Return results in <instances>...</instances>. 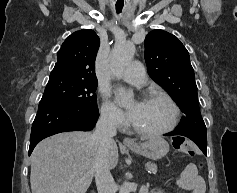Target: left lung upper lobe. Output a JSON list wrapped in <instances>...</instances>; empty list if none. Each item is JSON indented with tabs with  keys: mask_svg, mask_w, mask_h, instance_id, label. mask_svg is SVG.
<instances>
[{
	"mask_svg": "<svg viewBox=\"0 0 237 193\" xmlns=\"http://www.w3.org/2000/svg\"><path fill=\"white\" fill-rule=\"evenodd\" d=\"M145 60L150 77L169 93L183 112L175 130L207 138L194 70L184 45L174 35L155 29L145 38Z\"/></svg>",
	"mask_w": 237,
	"mask_h": 193,
	"instance_id": "left-lung-upper-lobe-1",
	"label": "left lung upper lobe"
}]
</instances>
